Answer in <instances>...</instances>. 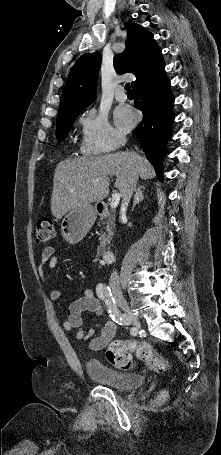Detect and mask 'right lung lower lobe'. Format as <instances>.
<instances>
[{
	"label": "right lung lower lobe",
	"mask_w": 221,
	"mask_h": 455,
	"mask_svg": "<svg viewBox=\"0 0 221 455\" xmlns=\"http://www.w3.org/2000/svg\"><path fill=\"white\" fill-rule=\"evenodd\" d=\"M164 67L161 53L132 87L135 107L143 113L135 134L161 181L162 162L166 155V144L172 136L171 124L174 120V97Z\"/></svg>",
	"instance_id": "right-lung-lower-lobe-1"
}]
</instances>
